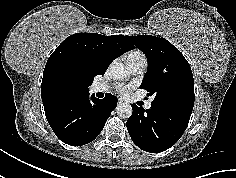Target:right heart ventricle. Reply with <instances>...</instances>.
<instances>
[{
    "instance_id": "1",
    "label": "right heart ventricle",
    "mask_w": 236,
    "mask_h": 178,
    "mask_svg": "<svg viewBox=\"0 0 236 178\" xmlns=\"http://www.w3.org/2000/svg\"><path fill=\"white\" fill-rule=\"evenodd\" d=\"M142 59L146 60L145 55L140 50H132L127 56V62L128 61L133 62V61H138Z\"/></svg>"
}]
</instances>
